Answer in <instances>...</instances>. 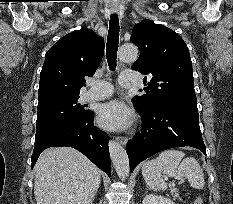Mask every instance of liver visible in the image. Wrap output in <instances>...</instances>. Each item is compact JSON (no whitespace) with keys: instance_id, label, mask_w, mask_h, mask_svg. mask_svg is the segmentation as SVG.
<instances>
[{"instance_id":"liver-1","label":"liver","mask_w":233,"mask_h":204,"mask_svg":"<svg viewBox=\"0 0 233 204\" xmlns=\"http://www.w3.org/2000/svg\"><path fill=\"white\" fill-rule=\"evenodd\" d=\"M100 180V170L79 151L48 148L35 165V199L37 204H89Z\"/></svg>"}]
</instances>
